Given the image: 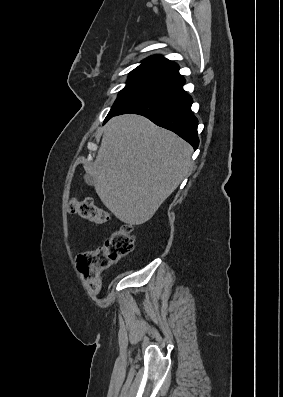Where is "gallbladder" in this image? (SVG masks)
Instances as JSON below:
<instances>
[{"label": "gallbladder", "instance_id": "1", "mask_svg": "<svg viewBox=\"0 0 283 397\" xmlns=\"http://www.w3.org/2000/svg\"><path fill=\"white\" fill-rule=\"evenodd\" d=\"M84 180L88 185L94 184V177L90 173L85 174Z\"/></svg>", "mask_w": 283, "mask_h": 397}]
</instances>
